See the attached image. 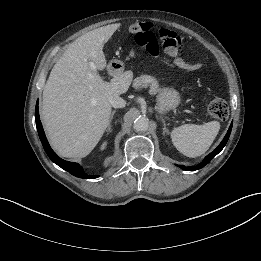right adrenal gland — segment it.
Instances as JSON below:
<instances>
[{"label":"right adrenal gland","mask_w":261,"mask_h":261,"mask_svg":"<svg viewBox=\"0 0 261 261\" xmlns=\"http://www.w3.org/2000/svg\"><path fill=\"white\" fill-rule=\"evenodd\" d=\"M116 113V110H113L112 113H111V117H110V122L112 121L113 119V116L114 114ZM111 125L108 126V129H107V133L109 134L111 132Z\"/></svg>","instance_id":"1"}]
</instances>
